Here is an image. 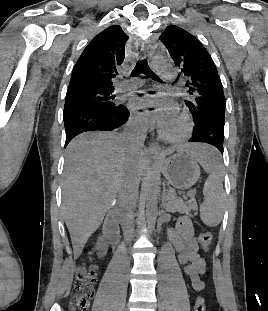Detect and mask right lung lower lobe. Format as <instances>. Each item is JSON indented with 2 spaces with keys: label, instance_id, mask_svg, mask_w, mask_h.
<instances>
[{
  "label": "right lung lower lobe",
  "instance_id": "right-lung-lower-lobe-1",
  "mask_svg": "<svg viewBox=\"0 0 268 311\" xmlns=\"http://www.w3.org/2000/svg\"><path fill=\"white\" fill-rule=\"evenodd\" d=\"M129 117L127 107L119 104L105 112L87 107H75L63 116L66 132L65 147L78 134L86 131H112L120 128Z\"/></svg>",
  "mask_w": 268,
  "mask_h": 311
}]
</instances>
